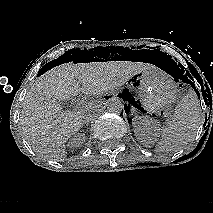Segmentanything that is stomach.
Segmentation results:
<instances>
[{
    "mask_svg": "<svg viewBox=\"0 0 213 213\" xmlns=\"http://www.w3.org/2000/svg\"><path fill=\"white\" fill-rule=\"evenodd\" d=\"M139 85L143 107L149 113H158L175 103L178 90L175 83L158 71H142L131 79Z\"/></svg>",
    "mask_w": 213,
    "mask_h": 213,
    "instance_id": "0dacf381",
    "label": "stomach"
}]
</instances>
